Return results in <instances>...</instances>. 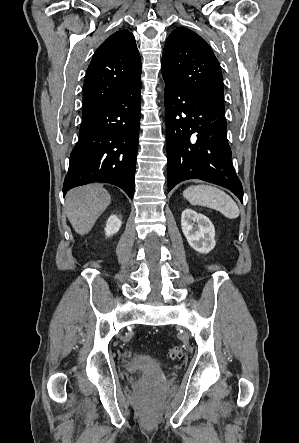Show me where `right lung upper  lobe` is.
<instances>
[{
    "mask_svg": "<svg viewBox=\"0 0 299 443\" xmlns=\"http://www.w3.org/2000/svg\"><path fill=\"white\" fill-rule=\"evenodd\" d=\"M141 82V59L128 30L113 33L93 55L83 88L85 115Z\"/></svg>",
    "mask_w": 299,
    "mask_h": 443,
    "instance_id": "right-lung-upper-lobe-1",
    "label": "right lung upper lobe"
}]
</instances>
